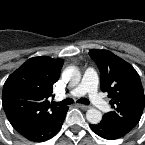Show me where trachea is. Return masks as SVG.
<instances>
[{
	"label": "trachea",
	"instance_id": "1",
	"mask_svg": "<svg viewBox=\"0 0 145 145\" xmlns=\"http://www.w3.org/2000/svg\"><path fill=\"white\" fill-rule=\"evenodd\" d=\"M73 102H74L73 99L66 98L63 101L59 102L58 104L59 105H69V104H72ZM76 102L77 103H82V104H85V105H88L89 104V101L87 99H85V98H80Z\"/></svg>",
	"mask_w": 145,
	"mask_h": 145
}]
</instances>
